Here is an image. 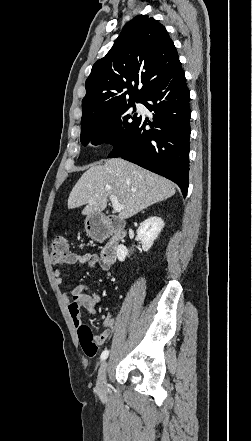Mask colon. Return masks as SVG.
Listing matches in <instances>:
<instances>
[{"label":"colon","mask_w":252,"mask_h":441,"mask_svg":"<svg viewBox=\"0 0 252 441\" xmlns=\"http://www.w3.org/2000/svg\"><path fill=\"white\" fill-rule=\"evenodd\" d=\"M68 254L69 245L67 240L62 236L55 237L49 249L51 261L53 263L61 262ZM77 331L84 353L89 357H94L98 352V344L91 329L87 325L81 324Z\"/></svg>","instance_id":"1"}]
</instances>
